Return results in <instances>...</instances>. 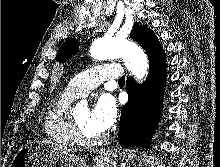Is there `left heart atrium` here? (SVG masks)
<instances>
[{
  "mask_svg": "<svg viewBox=\"0 0 220 167\" xmlns=\"http://www.w3.org/2000/svg\"><path fill=\"white\" fill-rule=\"evenodd\" d=\"M117 107L112 97L104 95L100 97L90 110V121L96 130L104 133L115 122Z\"/></svg>",
  "mask_w": 220,
  "mask_h": 167,
  "instance_id": "left-heart-atrium-1",
  "label": "left heart atrium"
}]
</instances>
